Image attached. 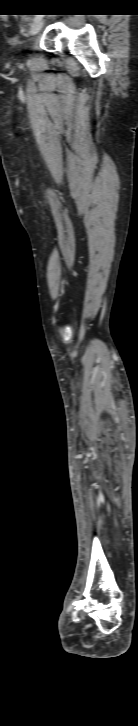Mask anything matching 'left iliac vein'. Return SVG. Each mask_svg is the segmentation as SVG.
I'll list each match as a JSON object with an SVG mask.
<instances>
[{
    "label": "left iliac vein",
    "mask_w": 138,
    "mask_h": 726,
    "mask_svg": "<svg viewBox=\"0 0 138 726\" xmlns=\"http://www.w3.org/2000/svg\"><path fill=\"white\" fill-rule=\"evenodd\" d=\"M44 21L41 19V16L38 20L34 21L30 28V35L35 36L43 27Z\"/></svg>",
    "instance_id": "1"
}]
</instances>
